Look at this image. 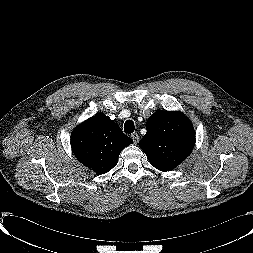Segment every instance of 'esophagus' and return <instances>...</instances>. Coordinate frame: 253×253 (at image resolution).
Here are the masks:
<instances>
[{
  "label": "esophagus",
  "instance_id": "esophagus-1",
  "mask_svg": "<svg viewBox=\"0 0 253 253\" xmlns=\"http://www.w3.org/2000/svg\"><path fill=\"white\" fill-rule=\"evenodd\" d=\"M131 137H132L134 143L137 144L139 141V135L137 133H132Z\"/></svg>",
  "mask_w": 253,
  "mask_h": 253
}]
</instances>
